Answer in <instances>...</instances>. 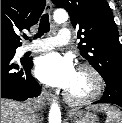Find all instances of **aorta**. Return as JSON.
Instances as JSON below:
<instances>
[{
    "mask_svg": "<svg viewBox=\"0 0 122 123\" xmlns=\"http://www.w3.org/2000/svg\"><path fill=\"white\" fill-rule=\"evenodd\" d=\"M68 14L63 9H58L54 12V20L57 23H63L67 21ZM49 123H61V111L60 107L57 103H53L51 105L50 111H49Z\"/></svg>",
    "mask_w": 122,
    "mask_h": 123,
    "instance_id": "obj_1",
    "label": "aorta"
}]
</instances>
